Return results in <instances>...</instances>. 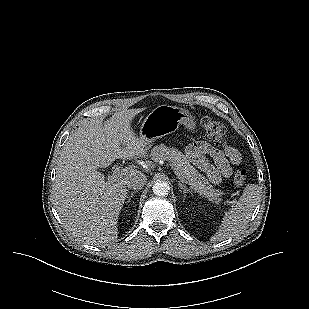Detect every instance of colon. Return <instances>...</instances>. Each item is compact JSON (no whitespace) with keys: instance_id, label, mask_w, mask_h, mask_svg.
<instances>
[{"instance_id":"5ec220e1","label":"colon","mask_w":309,"mask_h":309,"mask_svg":"<svg viewBox=\"0 0 309 309\" xmlns=\"http://www.w3.org/2000/svg\"><path fill=\"white\" fill-rule=\"evenodd\" d=\"M201 126L206 135L217 143L225 142L227 138V132L225 126L211 118L205 117L201 120ZM247 178V171L245 169H238L233 177V181L236 185H242Z\"/></svg>"}]
</instances>
